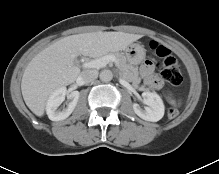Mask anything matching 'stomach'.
Wrapping results in <instances>:
<instances>
[{
    "instance_id": "obj_1",
    "label": "stomach",
    "mask_w": 219,
    "mask_h": 174,
    "mask_svg": "<svg viewBox=\"0 0 219 174\" xmlns=\"http://www.w3.org/2000/svg\"><path fill=\"white\" fill-rule=\"evenodd\" d=\"M146 50L138 43L130 44L125 50V56L130 64H139L145 57Z\"/></svg>"
}]
</instances>
